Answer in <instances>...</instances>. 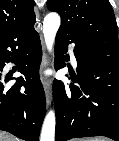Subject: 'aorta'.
I'll return each mask as SVG.
<instances>
[{
    "instance_id": "762f6f07",
    "label": "aorta",
    "mask_w": 119,
    "mask_h": 141,
    "mask_svg": "<svg viewBox=\"0 0 119 141\" xmlns=\"http://www.w3.org/2000/svg\"><path fill=\"white\" fill-rule=\"evenodd\" d=\"M60 16L57 13H49L43 21V34L46 46L52 50L56 33L60 27ZM55 139V113L50 111L43 122L40 141H54Z\"/></svg>"
}]
</instances>
